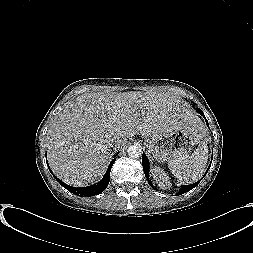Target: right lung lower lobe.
I'll list each match as a JSON object with an SVG mask.
<instances>
[{
    "instance_id": "obj_1",
    "label": "right lung lower lobe",
    "mask_w": 253,
    "mask_h": 253,
    "mask_svg": "<svg viewBox=\"0 0 253 253\" xmlns=\"http://www.w3.org/2000/svg\"><path fill=\"white\" fill-rule=\"evenodd\" d=\"M115 160L116 159H113L111 161V163L109 164V167H108V169H107V171H106L103 179L100 182H98L97 184H94V185H91V186H88V187L76 188V187H72V186H69V185L65 184L64 182H62L61 180H59L57 177H55V179L57 181H59V183L64 188H66L67 190H69L70 192H72V193H74L76 195H79V196H94V195H98L101 192H103L107 188V186L109 184L110 172H111V168H112ZM50 172H51V170H50Z\"/></svg>"
}]
</instances>
